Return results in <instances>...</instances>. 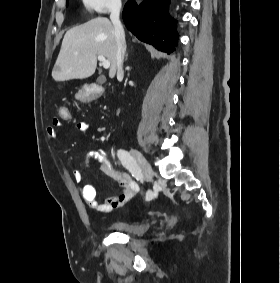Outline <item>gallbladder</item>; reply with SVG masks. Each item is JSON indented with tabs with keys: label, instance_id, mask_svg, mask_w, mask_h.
Segmentation results:
<instances>
[{
	"label": "gallbladder",
	"instance_id": "bac80fb5",
	"mask_svg": "<svg viewBox=\"0 0 280 283\" xmlns=\"http://www.w3.org/2000/svg\"><path fill=\"white\" fill-rule=\"evenodd\" d=\"M96 81H97V83H98V84H102V83H104V82H105V78H104V77H102V76H100V77H98V78H97V80H96Z\"/></svg>",
	"mask_w": 280,
	"mask_h": 283
}]
</instances>
